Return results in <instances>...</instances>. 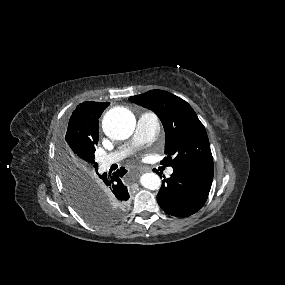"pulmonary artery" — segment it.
<instances>
[{
  "label": "pulmonary artery",
  "mask_w": 285,
  "mask_h": 285,
  "mask_svg": "<svg viewBox=\"0 0 285 285\" xmlns=\"http://www.w3.org/2000/svg\"><path fill=\"white\" fill-rule=\"evenodd\" d=\"M159 129V120L155 114L149 112L142 114L138 119L131 143L120 147L110 154L99 157L98 162L100 166L107 168L119 162L131 152L133 147L154 140L159 133ZM167 172L168 174H172L173 169L169 168Z\"/></svg>",
  "instance_id": "obj_1"
}]
</instances>
